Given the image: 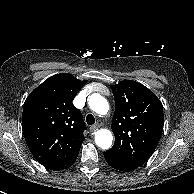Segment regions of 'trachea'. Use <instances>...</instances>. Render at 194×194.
<instances>
[{"label":"trachea","mask_w":194,"mask_h":194,"mask_svg":"<svg viewBox=\"0 0 194 194\" xmlns=\"http://www.w3.org/2000/svg\"><path fill=\"white\" fill-rule=\"evenodd\" d=\"M86 122L88 125H93L95 123V118L92 114L86 116Z\"/></svg>","instance_id":"trachea-1"}]
</instances>
